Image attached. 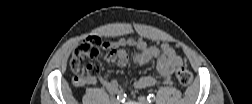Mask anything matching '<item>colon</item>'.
I'll return each instance as SVG.
<instances>
[{
	"mask_svg": "<svg viewBox=\"0 0 252 104\" xmlns=\"http://www.w3.org/2000/svg\"><path fill=\"white\" fill-rule=\"evenodd\" d=\"M114 42L105 40L101 36H90L79 42L72 51L69 59V67L73 73V83L81 84L84 80L91 76L94 67L85 65L82 60L85 58L98 59L103 54L109 56L114 52ZM177 79L182 86H190L193 82L192 73L184 66L177 70Z\"/></svg>",
	"mask_w": 252,
	"mask_h": 104,
	"instance_id": "colon-1",
	"label": "colon"
}]
</instances>
